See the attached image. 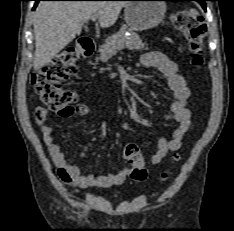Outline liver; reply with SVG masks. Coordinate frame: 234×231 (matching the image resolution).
I'll list each match as a JSON object with an SVG mask.
<instances>
[{"label": "liver", "instance_id": "1", "mask_svg": "<svg viewBox=\"0 0 234 231\" xmlns=\"http://www.w3.org/2000/svg\"><path fill=\"white\" fill-rule=\"evenodd\" d=\"M125 5L124 1L40 2L34 15V69H41L65 48L92 15L97 14L99 25L108 28L117 21Z\"/></svg>", "mask_w": 234, "mask_h": 231}]
</instances>
